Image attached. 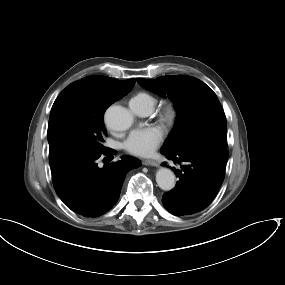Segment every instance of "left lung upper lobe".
I'll use <instances>...</instances> for the list:
<instances>
[{"instance_id": "1", "label": "left lung upper lobe", "mask_w": 285, "mask_h": 285, "mask_svg": "<svg viewBox=\"0 0 285 285\" xmlns=\"http://www.w3.org/2000/svg\"><path fill=\"white\" fill-rule=\"evenodd\" d=\"M137 81L148 90L167 95L178 111L175 128L162 151L176 152L202 145L227 148L224 111L214 91L205 83L187 75Z\"/></svg>"}]
</instances>
